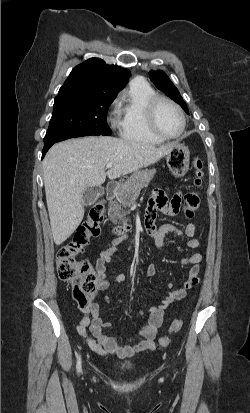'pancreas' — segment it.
Listing matches in <instances>:
<instances>
[{
  "label": "pancreas",
  "mask_w": 250,
  "mask_h": 413,
  "mask_svg": "<svg viewBox=\"0 0 250 413\" xmlns=\"http://www.w3.org/2000/svg\"><path fill=\"white\" fill-rule=\"evenodd\" d=\"M155 169H145L134 172L127 181L120 185L115 200L109 204V218L113 223H126V215L128 214L123 208L130 207L135 198L140 194L143 188H146L152 180Z\"/></svg>",
  "instance_id": "cf45deb5"
}]
</instances>
